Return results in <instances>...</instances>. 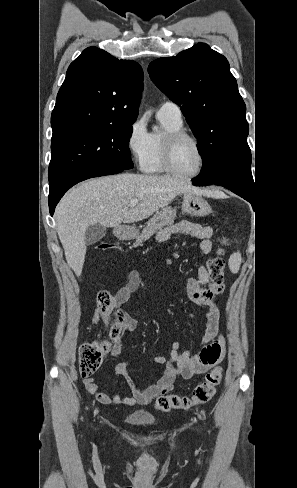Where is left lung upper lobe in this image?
<instances>
[{
    "label": "left lung upper lobe",
    "instance_id": "1",
    "mask_svg": "<svg viewBox=\"0 0 297 488\" xmlns=\"http://www.w3.org/2000/svg\"><path fill=\"white\" fill-rule=\"evenodd\" d=\"M154 84L180 106L204 157L195 177L205 186L229 182L254 192L245 103L227 59L205 43L152 61Z\"/></svg>",
    "mask_w": 297,
    "mask_h": 488
}]
</instances>
